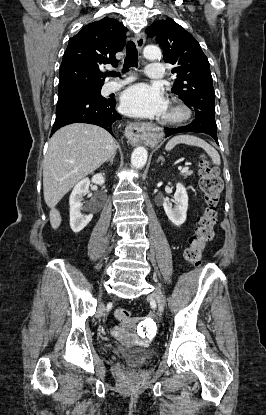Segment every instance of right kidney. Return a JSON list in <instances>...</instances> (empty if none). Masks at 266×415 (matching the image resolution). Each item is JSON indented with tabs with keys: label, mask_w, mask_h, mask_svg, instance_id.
Wrapping results in <instances>:
<instances>
[{
	"label": "right kidney",
	"mask_w": 266,
	"mask_h": 415,
	"mask_svg": "<svg viewBox=\"0 0 266 415\" xmlns=\"http://www.w3.org/2000/svg\"><path fill=\"white\" fill-rule=\"evenodd\" d=\"M90 182L97 185H103L105 182L104 174L99 173L92 177L91 181L88 178L82 179L78 182L72 190L69 198L70 204V226L71 229L78 233L83 230L91 221L93 215L89 214L83 216L81 210L83 208V196L88 193Z\"/></svg>",
	"instance_id": "obj_1"
}]
</instances>
